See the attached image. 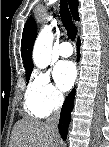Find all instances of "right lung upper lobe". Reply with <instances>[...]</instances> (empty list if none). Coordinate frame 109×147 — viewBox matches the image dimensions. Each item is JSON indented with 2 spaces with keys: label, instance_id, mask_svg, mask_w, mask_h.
Wrapping results in <instances>:
<instances>
[{
  "label": "right lung upper lobe",
  "instance_id": "right-lung-upper-lobe-1",
  "mask_svg": "<svg viewBox=\"0 0 109 147\" xmlns=\"http://www.w3.org/2000/svg\"><path fill=\"white\" fill-rule=\"evenodd\" d=\"M69 7L72 13V16L75 20L79 19L78 14V1L77 0H69ZM37 35V25L34 19L30 18L25 24L22 42H21V55L23 59V64L26 69V74L32 72L33 70V62H32V49L34 45V41Z\"/></svg>",
  "mask_w": 109,
  "mask_h": 147
}]
</instances>
